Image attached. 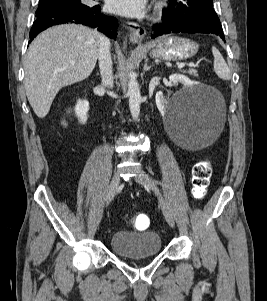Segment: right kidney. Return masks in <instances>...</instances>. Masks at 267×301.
<instances>
[{
	"mask_svg": "<svg viewBox=\"0 0 267 301\" xmlns=\"http://www.w3.org/2000/svg\"><path fill=\"white\" fill-rule=\"evenodd\" d=\"M89 111V102L87 100H78L75 106V114L79 119V122L85 124L87 121V114Z\"/></svg>",
	"mask_w": 267,
	"mask_h": 301,
	"instance_id": "right-kidney-1",
	"label": "right kidney"
}]
</instances>
